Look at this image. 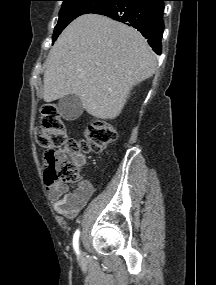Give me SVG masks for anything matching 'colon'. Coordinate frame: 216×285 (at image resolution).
<instances>
[{
	"instance_id": "obj_1",
	"label": "colon",
	"mask_w": 216,
	"mask_h": 285,
	"mask_svg": "<svg viewBox=\"0 0 216 285\" xmlns=\"http://www.w3.org/2000/svg\"><path fill=\"white\" fill-rule=\"evenodd\" d=\"M85 135V141L69 139L56 105L43 107L41 124L36 128L35 137L40 146L49 148L44 158L48 185L77 181V155L80 152H102L116 139L117 133L111 124L93 120L88 124Z\"/></svg>"
}]
</instances>
